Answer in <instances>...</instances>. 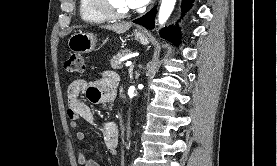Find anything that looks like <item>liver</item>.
I'll list each match as a JSON object with an SVG mask.
<instances>
[{"label":"liver","instance_id":"obj_1","mask_svg":"<svg viewBox=\"0 0 277 166\" xmlns=\"http://www.w3.org/2000/svg\"><path fill=\"white\" fill-rule=\"evenodd\" d=\"M131 26L132 24L130 22H122V23H115L111 25H105V26H102L101 28L111 30L117 34H123L126 31H128Z\"/></svg>","mask_w":277,"mask_h":166}]
</instances>
